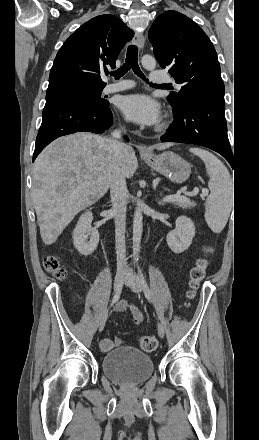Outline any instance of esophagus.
Returning a JSON list of instances; mask_svg holds the SVG:
<instances>
[{"label":"esophagus","mask_w":259,"mask_h":440,"mask_svg":"<svg viewBox=\"0 0 259 440\" xmlns=\"http://www.w3.org/2000/svg\"><path fill=\"white\" fill-rule=\"evenodd\" d=\"M133 42L135 45H137L139 47V49H142L144 47V43H145L144 35L141 33H135ZM139 149H140V152L145 155H149L152 153L151 149L145 144H141Z\"/></svg>","instance_id":"esophagus-1"}]
</instances>
